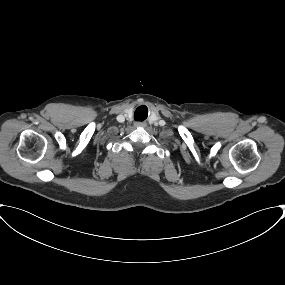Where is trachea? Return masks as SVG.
I'll list each match as a JSON object with an SVG mask.
<instances>
[{"instance_id": "1", "label": "trachea", "mask_w": 285, "mask_h": 285, "mask_svg": "<svg viewBox=\"0 0 285 285\" xmlns=\"http://www.w3.org/2000/svg\"><path fill=\"white\" fill-rule=\"evenodd\" d=\"M147 107L146 106H140L136 109L134 113V118L136 121H143L147 118Z\"/></svg>"}]
</instances>
